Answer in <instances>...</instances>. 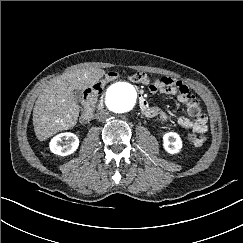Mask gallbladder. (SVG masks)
Instances as JSON below:
<instances>
[{
	"mask_svg": "<svg viewBox=\"0 0 243 243\" xmlns=\"http://www.w3.org/2000/svg\"><path fill=\"white\" fill-rule=\"evenodd\" d=\"M74 97L77 102H80L82 99V92L80 90L74 91Z\"/></svg>",
	"mask_w": 243,
	"mask_h": 243,
	"instance_id": "obj_1",
	"label": "gallbladder"
}]
</instances>
